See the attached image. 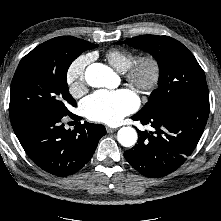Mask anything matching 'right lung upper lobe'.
I'll return each mask as SVG.
<instances>
[{
    "label": "right lung upper lobe",
    "instance_id": "obj_1",
    "mask_svg": "<svg viewBox=\"0 0 221 221\" xmlns=\"http://www.w3.org/2000/svg\"><path fill=\"white\" fill-rule=\"evenodd\" d=\"M71 37V36H69ZM73 38L77 43L81 44V45H87L89 44V42L85 41V40H82V39H78V38H75V37H71Z\"/></svg>",
    "mask_w": 221,
    "mask_h": 221
}]
</instances>
